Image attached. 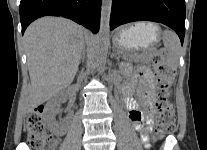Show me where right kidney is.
<instances>
[{"label":"right kidney","instance_id":"right-kidney-1","mask_svg":"<svg viewBox=\"0 0 207 150\" xmlns=\"http://www.w3.org/2000/svg\"><path fill=\"white\" fill-rule=\"evenodd\" d=\"M67 99V93L61 91L53 96L45 106V119L50 130L59 134L61 131L60 124L56 121V115L58 113V108L62 102Z\"/></svg>","mask_w":207,"mask_h":150}]
</instances>
